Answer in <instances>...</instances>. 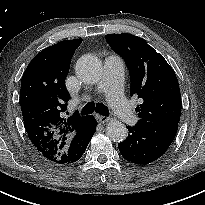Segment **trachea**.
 I'll return each instance as SVG.
<instances>
[{
	"mask_svg": "<svg viewBox=\"0 0 205 205\" xmlns=\"http://www.w3.org/2000/svg\"><path fill=\"white\" fill-rule=\"evenodd\" d=\"M94 111L98 112L103 116H109L110 114L108 108L105 105H103L102 103L95 104L94 102L87 103L81 110V114H91Z\"/></svg>",
	"mask_w": 205,
	"mask_h": 205,
	"instance_id": "1",
	"label": "trachea"
}]
</instances>
